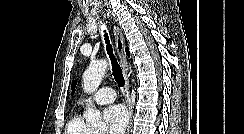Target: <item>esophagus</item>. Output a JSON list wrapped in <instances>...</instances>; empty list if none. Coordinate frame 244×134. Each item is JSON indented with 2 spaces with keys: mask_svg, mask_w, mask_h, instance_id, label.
I'll return each mask as SVG.
<instances>
[{
  "mask_svg": "<svg viewBox=\"0 0 244 134\" xmlns=\"http://www.w3.org/2000/svg\"><path fill=\"white\" fill-rule=\"evenodd\" d=\"M113 34H114L117 54H118V57L120 60V65H121L123 77L125 80L124 96H125V100H126L128 112H129V120H128V125L126 128V134H129L131 124H132L133 108H132L131 99H130V89H129L130 83H129V76H128V61H127V56H126V52H125L126 44H125V39H124V36H123L121 29L116 25L113 26Z\"/></svg>",
  "mask_w": 244,
  "mask_h": 134,
  "instance_id": "1",
  "label": "esophagus"
}]
</instances>
